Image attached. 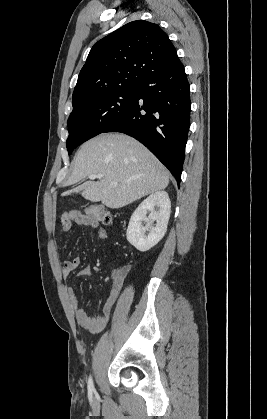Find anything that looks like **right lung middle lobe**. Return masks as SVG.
Wrapping results in <instances>:
<instances>
[{
    "label": "right lung middle lobe",
    "instance_id": "1",
    "mask_svg": "<svg viewBox=\"0 0 267 419\" xmlns=\"http://www.w3.org/2000/svg\"><path fill=\"white\" fill-rule=\"evenodd\" d=\"M137 94L138 87H127L94 94L73 104V111L67 123L68 154L119 120L134 102Z\"/></svg>",
    "mask_w": 267,
    "mask_h": 419
}]
</instances>
